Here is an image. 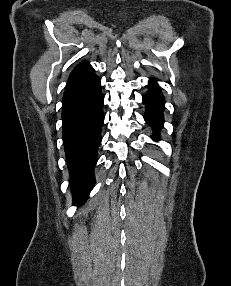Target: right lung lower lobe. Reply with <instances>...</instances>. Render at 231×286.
I'll return each mask as SVG.
<instances>
[{
    "instance_id": "obj_1",
    "label": "right lung lower lobe",
    "mask_w": 231,
    "mask_h": 286,
    "mask_svg": "<svg viewBox=\"0 0 231 286\" xmlns=\"http://www.w3.org/2000/svg\"><path fill=\"white\" fill-rule=\"evenodd\" d=\"M103 104L101 80L94 70L68 80L63 95V140L75 205L84 202L94 186Z\"/></svg>"
}]
</instances>
